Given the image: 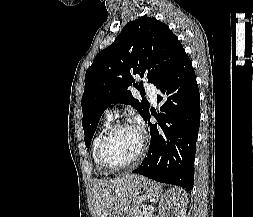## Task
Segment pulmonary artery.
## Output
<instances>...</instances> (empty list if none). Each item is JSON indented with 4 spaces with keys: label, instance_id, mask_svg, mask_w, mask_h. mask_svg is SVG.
Returning a JSON list of instances; mask_svg holds the SVG:
<instances>
[{
    "label": "pulmonary artery",
    "instance_id": "obj_1",
    "mask_svg": "<svg viewBox=\"0 0 253 217\" xmlns=\"http://www.w3.org/2000/svg\"><path fill=\"white\" fill-rule=\"evenodd\" d=\"M144 87L146 89V92L149 95L150 100L153 103H156V101H157V93H158L157 88L154 85L150 84V83H145ZM115 114H116V112L112 111L111 109H108L106 111V116L107 117H111L112 118L113 115H115Z\"/></svg>",
    "mask_w": 253,
    "mask_h": 217
}]
</instances>
